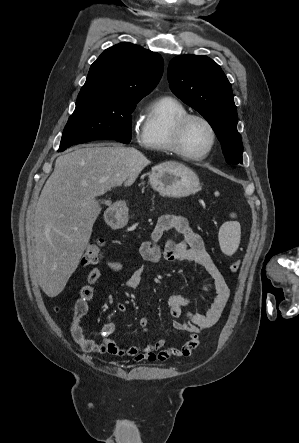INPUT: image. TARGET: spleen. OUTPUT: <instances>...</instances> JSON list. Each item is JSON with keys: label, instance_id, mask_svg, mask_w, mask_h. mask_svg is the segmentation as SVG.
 I'll return each mask as SVG.
<instances>
[{"label": "spleen", "instance_id": "obj_1", "mask_svg": "<svg viewBox=\"0 0 299 443\" xmlns=\"http://www.w3.org/2000/svg\"><path fill=\"white\" fill-rule=\"evenodd\" d=\"M231 217H235L232 214ZM241 237L240 224L238 222H225L219 230V244L221 251L226 255L236 252Z\"/></svg>", "mask_w": 299, "mask_h": 443}]
</instances>
